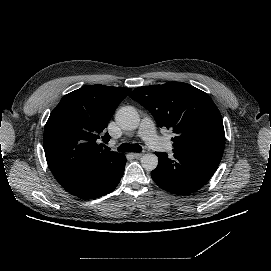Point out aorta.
<instances>
[{
	"instance_id": "762f6f07",
	"label": "aorta",
	"mask_w": 271,
	"mask_h": 271,
	"mask_svg": "<svg viewBox=\"0 0 271 271\" xmlns=\"http://www.w3.org/2000/svg\"><path fill=\"white\" fill-rule=\"evenodd\" d=\"M115 121L123 130L132 131L139 126L140 117L134 107L125 106L116 112ZM141 165L146 171H152L158 165V157L151 153L144 154L141 157Z\"/></svg>"
}]
</instances>
